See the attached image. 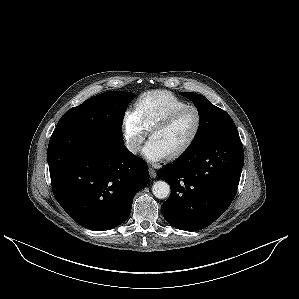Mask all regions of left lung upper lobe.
Returning a JSON list of instances; mask_svg holds the SVG:
<instances>
[{
    "instance_id": "5c2ea615",
    "label": "left lung upper lobe",
    "mask_w": 299,
    "mask_h": 299,
    "mask_svg": "<svg viewBox=\"0 0 299 299\" xmlns=\"http://www.w3.org/2000/svg\"><path fill=\"white\" fill-rule=\"evenodd\" d=\"M180 94L194 102L200 117L197 134L187 151L205 144L212 136L234 124L228 113L213 105L206 97L193 92Z\"/></svg>"
}]
</instances>
